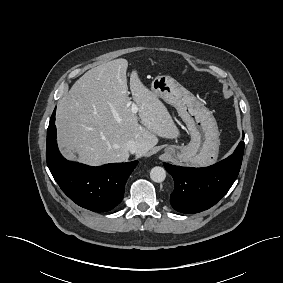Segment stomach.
Instances as JSON below:
<instances>
[{"instance_id":"0dacf381","label":"stomach","mask_w":283,"mask_h":283,"mask_svg":"<svg viewBox=\"0 0 283 283\" xmlns=\"http://www.w3.org/2000/svg\"><path fill=\"white\" fill-rule=\"evenodd\" d=\"M151 91L177 109L191 136L187 145H168L165 152L180 163L199 167L213 164L219 154L220 140L212 112L170 76L155 77Z\"/></svg>"}]
</instances>
